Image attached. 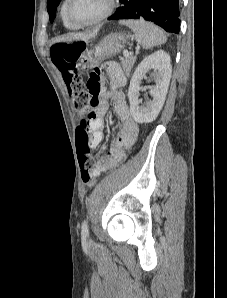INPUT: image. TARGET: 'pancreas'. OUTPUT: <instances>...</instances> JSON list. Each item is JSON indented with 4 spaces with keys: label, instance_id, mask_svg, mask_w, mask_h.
Listing matches in <instances>:
<instances>
[{
    "label": "pancreas",
    "instance_id": "obj_1",
    "mask_svg": "<svg viewBox=\"0 0 227 298\" xmlns=\"http://www.w3.org/2000/svg\"><path fill=\"white\" fill-rule=\"evenodd\" d=\"M136 57L135 56H129L122 60L121 64L123 67L124 72L129 75L131 72V69L133 68V65L135 63Z\"/></svg>",
    "mask_w": 227,
    "mask_h": 298
}]
</instances>
